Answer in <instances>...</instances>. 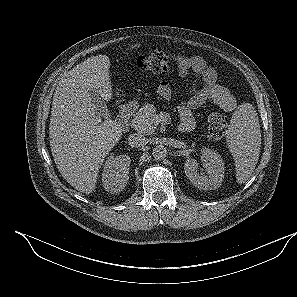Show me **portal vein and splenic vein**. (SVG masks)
<instances>
[{"instance_id": "obj_1", "label": "portal vein and splenic vein", "mask_w": 297, "mask_h": 297, "mask_svg": "<svg viewBox=\"0 0 297 297\" xmlns=\"http://www.w3.org/2000/svg\"><path fill=\"white\" fill-rule=\"evenodd\" d=\"M161 121H163V120H161V119L159 118V119L157 120V123H158V122H161Z\"/></svg>"}]
</instances>
